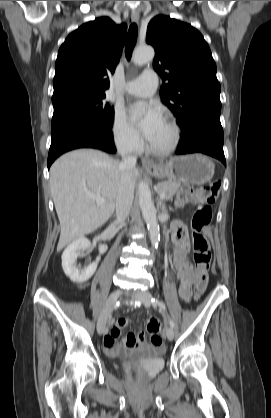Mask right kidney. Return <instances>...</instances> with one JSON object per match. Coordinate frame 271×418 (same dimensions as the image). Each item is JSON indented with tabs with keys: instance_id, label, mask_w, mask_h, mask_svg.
I'll return each instance as SVG.
<instances>
[{
	"instance_id": "obj_1",
	"label": "right kidney",
	"mask_w": 271,
	"mask_h": 418,
	"mask_svg": "<svg viewBox=\"0 0 271 418\" xmlns=\"http://www.w3.org/2000/svg\"><path fill=\"white\" fill-rule=\"evenodd\" d=\"M90 247V241L85 237H80L70 243L62 254V267L64 273L75 283H84L95 273L100 256L88 267L80 268L76 265L80 252Z\"/></svg>"
}]
</instances>
